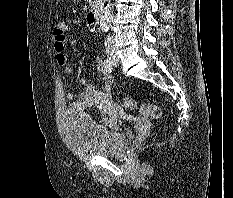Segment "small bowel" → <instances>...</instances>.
<instances>
[{
	"label": "small bowel",
	"instance_id": "obj_1",
	"mask_svg": "<svg viewBox=\"0 0 233 198\" xmlns=\"http://www.w3.org/2000/svg\"><path fill=\"white\" fill-rule=\"evenodd\" d=\"M67 29V26H66ZM66 36L58 37L54 35L55 61L57 65L64 69L67 74L73 73L71 61L64 53ZM96 69L103 76V88L97 89L89 80L80 79L83 90L79 93L77 100L72 92L66 93L65 97L71 101L70 110L81 112L92 106L102 109L110 107L113 103L111 98L112 76L105 70L104 62L97 58L95 61Z\"/></svg>",
	"mask_w": 233,
	"mask_h": 198
}]
</instances>
